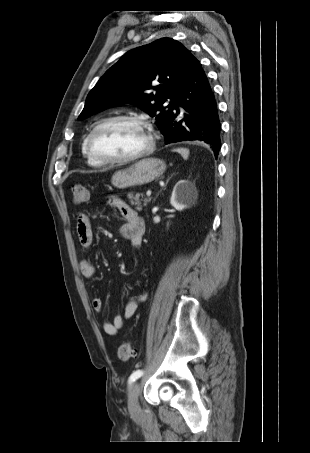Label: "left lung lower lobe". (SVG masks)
I'll return each mask as SVG.
<instances>
[{
    "mask_svg": "<svg viewBox=\"0 0 310 453\" xmlns=\"http://www.w3.org/2000/svg\"><path fill=\"white\" fill-rule=\"evenodd\" d=\"M178 106L185 111L181 120ZM165 144L180 141H200L208 144L217 158L221 148V124L217 103L207 76L192 55L186 78L172 106V113L161 129Z\"/></svg>",
    "mask_w": 310,
    "mask_h": 453,
    "instance_id": "obj_1",
    "label": "left lung lower lobe"
}]
</instances>
